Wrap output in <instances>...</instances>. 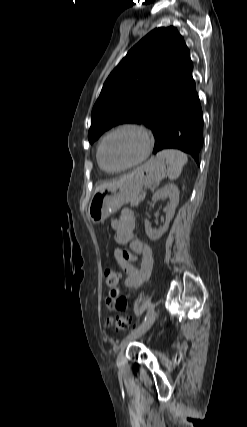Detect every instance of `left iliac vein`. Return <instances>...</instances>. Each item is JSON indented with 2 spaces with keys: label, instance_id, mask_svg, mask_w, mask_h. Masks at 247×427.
<instances>
[{
  "label": "left iliac vein",
  "instance_id": "obj_1",
  "mask_svg": "<svg viewBox=\"0 0 247 427\" xmlns=\"http://www.w3.org/2000/svg\"><path fill=\"white\" fill-rule=\"evenodd\" d=\"M157 317V311L146 320L144 324L133 330L129 335H127L120 344V352L117 357V366L121 368L125 363L124 350L128 343L132 340H135L145 334L153 325Z\"/></svg>",
  "mask_w": 247,
  "mask_h": 427
}]
</instances>
